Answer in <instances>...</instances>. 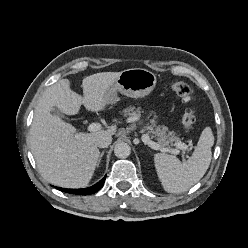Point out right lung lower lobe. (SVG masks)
Segmentation results:
<instances>
[{
    "label": "right lung lower lobe",
    "instance_id": "right-lung-lower-lobe-1",
    "mask_svg": "<svg viewBox=\"0 0 248 248\" xmlns=\"http://www.w3.org/2000/svg\"><path fill=\"white\" fill-rule=\"evenodd\" d=\"M105 178L106 176L102 178L95 185L88 187V188H84V189H65V188H59V187H57V189L63 192L71 193V194L88 195V194L96 193L98 190H100V188H102L105 182Z\"/></svg>",
    "mask_w": 248,
    "mask_h": 248
}]
</instances>
